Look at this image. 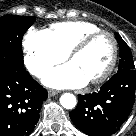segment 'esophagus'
<instances>
[{
    "instance_id": "obj_1",
    "label": "esophagus",
    "mask_w": 136,
    "mask_h": 136,
    "mask_svg": "<svg viewBox=\"0 0 136 136\" xmlns=\"http://www.w3.org/2000/svg\"><path fill=\"white\" fill-rule=\"evenodd\" d=\"M58 93H59V91H56V90H52V89L48 90L49 97H53V96L57 95Z\"/></svg>"
}]
</instances>
